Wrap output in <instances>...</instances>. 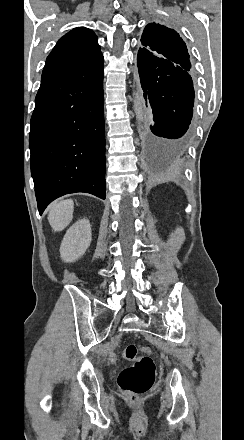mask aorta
<instances>
[{
	"instance_id": "aorta-1",
	"label": "aorta",
	"mask_w": 244,
	"mask_h": 440,
	"mask_svg": "<svg viewBox=\"0 0 244 440\" xmlns=\"http://www.w3.org/2000/svg\"><path fill=\"white\" fill-rule=\"evenodd\" d=\"M134 111L136 114V117L138 121L142 118V111H143V97L141 92L134 93Z\"/></svg>"
}]
</instances>
